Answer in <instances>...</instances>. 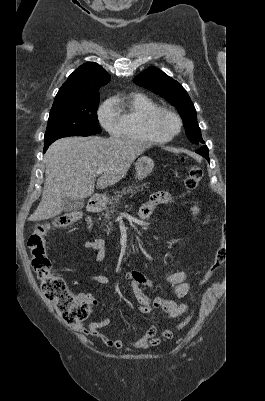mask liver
<instances>
[{"instance_id": "1", "label": "liver", "mask_w": 265, "mask_h": 401, "mask_svg": "<svg viewBox=\"0 0 265 401\" xmlns=\"http://www.w3.org/2000/svg\"><path fill=\"white\" fill-rule=\"evenodd\" d=\"M150 146V142L142 140L101 136H69L55 140L44 154L42 198L28 221H44L60 215L65 196H91L98 168L105 170L99 176L96 188L116 184L125 176L133 160Z\"/></svg>"}]
</instances>
